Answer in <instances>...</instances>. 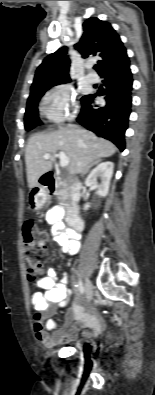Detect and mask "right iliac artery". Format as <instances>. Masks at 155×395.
<instances>
[{
	"label": "right iliac artery",
	"instance_id": "82829eb1",
	"mask_svg": "<svg viewBox=\"0 0 155 395\" xmlns=\"http://www.w3.org/2000/svg\"><path fill=\"white\" fill-rule=\"evenodd\" d=\"M77 287H78L80 293H81V294H84L85 289H84V286H83V283H82L81 280L78 282Z\"/></svg>",
	"mask_w": 155,
	"mask_h": 395
}]
</instances>
